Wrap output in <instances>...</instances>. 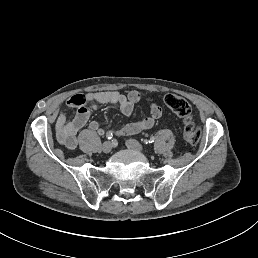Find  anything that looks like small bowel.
Masks as SVG:
<instances>
[{
  "instance_id": "small-bowel-1",
  "label": "small bowel",
  "mask_w": 258,
  "mask_h": 258,
  "mask_svg": "<svg viewBox=\"0 0 258 258\" xmlns=\"http://www.w3.org/2000/svg\"><path fill=\"white\" fill-rule=\"evenodd\" d=\"M141 96L138 91L131 90L127 94L118 91H96L83 94H75L69 97L66 105L69 108L76 109L75 116L68 120L66 112L61 111L56 119V136L60 144L73 150L78 145L77 136L83 127L88 123V132L97 135L104 134V128L101 124L92 120L89 121L90 111L97 109L101 105H115L125 116H131L134 106L139 102ZM162 109L155 102H150V114L146 117L137 119L116 130L118 135H133L145 129H149L161 118Z\"/></svg>"
}]
</instances>
